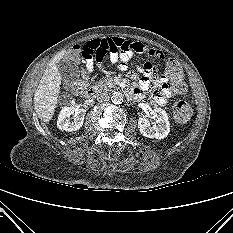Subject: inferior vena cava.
I'll list each match as a JSON object with an SVG mask.
<instances>
[{"label": "inferior vena cava", "mask_w": 233, "mask_h": 233, "mask_svg": "<svg viewBox=\"0 0 233 233\" xmlns=\"http://www.w3.org/2000/svg\"><path fill=\"white\" fill-rule=\"evenodd\" d=\"M110 99L109 95L107 93H101V94H98L97 96V100L99 102H106Z\"/></svg>", "instance_id": "inferior-vena-cava-1"}]
</instances>
